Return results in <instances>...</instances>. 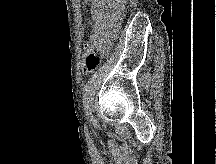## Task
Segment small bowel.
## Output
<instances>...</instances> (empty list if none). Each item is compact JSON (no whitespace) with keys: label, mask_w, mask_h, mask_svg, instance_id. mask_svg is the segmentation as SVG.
Returning <instances> with one entry per match:
<instances>
[{"label":"small bowel","mask_w":216,"mask_h":164,"mask_svg":"<svg viewBox=\"0 0 216 164\" xmlns=\"http://www.w3.org/2000/svg\"><path fill=\"white\" fill-rule=\"evenodd\" d=\"M90 3L93 29L86 42L87 52L105 55L116 36L119 20L124 11L125 0H86Z\"/></svg>","instance_id":"obj_1"}]
</instances>
